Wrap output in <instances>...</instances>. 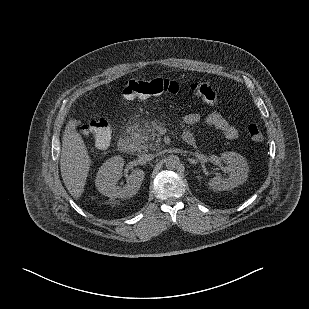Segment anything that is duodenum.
<instances>
[{
  "label": "duodenum",
  "instance_id": "duodenum-1",
  "mask_svg": "<svg viewBox=\"0 0 309 309\" xmlns=\"http://www.w3.org/2000/svg\"><path fill=\"white\" fill-rule=\"evenodd\" d=\"M183 140L184 142H186L187 144H192L194 142V138L190 135H185L183 136ZM118 149L119 151L123 152V153H130L133 149V144L132 142L127 139V138H120L118 140Z\"/></svg>",
  "mask_w": 309,
  "mask_h": 309
}]
</instances>
